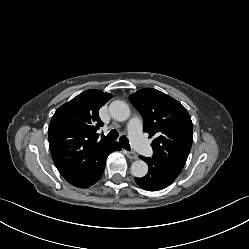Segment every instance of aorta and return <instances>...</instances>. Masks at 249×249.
I'll return each instance as SVG.
<instances>
[{
    "mask_svg": "<svg viewBox=\"0 0 249 249\" xmlns=\"http://www.w3.org/2000/svg\"><path fill=\"white\" fill-rule=\"evenodd\" d=\"M109 113L114 120L122 122L130 117V108L125 102L116 100L110 104ZM131 173L137 178H142L148 173V165L142 160H136L131 165Z\"/></svg>",
    "mask_w": 249,
    "mask_h": 249,
    "instance_id": "762f6f07",
    "label": "aorta"
}]
</instances>
